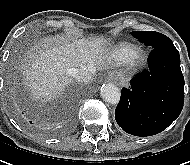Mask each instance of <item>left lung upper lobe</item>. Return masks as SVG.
<instances>
[{
  "mask_svg": "<svg viewBox=\"0 0 190 165\" xmlns=\"http://www.w3.org/2000/svg\"><path fill=\"white\" fill-rule=\"evenodd\" d=\"M132 35L146 46L152 48L170 40L167 36L154 31H134Z\"/></svg>",
  "mask_w": 190,
  "mask_h": 165,
  "instance_id": "5c2ea615",
  "label": "left lung upper lobe"
}]
</instances>
